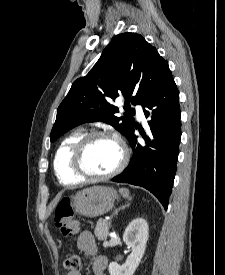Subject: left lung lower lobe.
<instances>
[{
    "mask_svg": "<svg viewBox=\"0 0 225 275\" xmlns=\"http://www.w3.org/2000/svg\"><path fill=\"white\" fill-rule=\"evenodd\" d=\"M150 130L140 131L145 143H139L134 128L125 135L133 150L127 168L112 180L141 186L153 193L166 209L176 173L181 137L179 91L170 69L144 96L140 103Z\"/></svg>",
    "mask_w": 225,
    "mask_h": 275,
    "instance_id": "obj_1",
    "label": "left lung lower lobe"
}]
</instances>
